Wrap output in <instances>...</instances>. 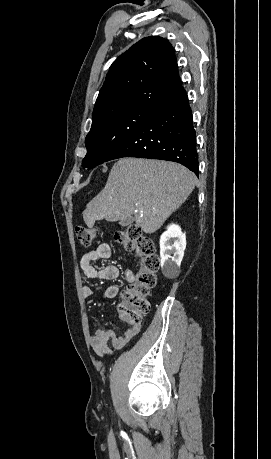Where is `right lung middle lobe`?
I'll return each mask as SVG.
<instances>
[{
    "label": "right lung middle lobe",
    "instance_id": "obj_1",
    "mask_svg": "<svg viewBox=\"0 0 271 459\" xmlns=\"http://www.w3.org/2000/svg\"><path fill=\"white\" fill-rule=\"evenodd\" d=\"M154 113V110L147 107H134L93 119L91 130L85 140L87 154L82 166L92 169L105 162L109 155Z\"/></svg>",
    "mask_w": 271,
    "mask_h": 459
}]
</instances>
